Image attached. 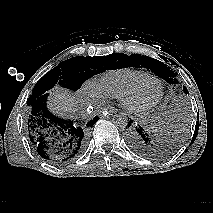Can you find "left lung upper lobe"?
<instances>
[{"label": "left lung upper lobe", "mask_w": 213, "mask_h": 213, "mask_svg": "<svg viewBox=\"0 0 213 213\" xmlns=\"http://www.w3.org/2000/svg\"><path fill=\"white\" fill-rule=\"evenodd\" d=\"M127 58H128L127 67H139V68L144 67L150 69L156 75L166 80L169 84L171 85L178 84V80L176 79L177 74L172 72L170 70V67H166L164 63H162L161 61L140 54H132ZM183 91L185 94H188V90L185 86H183Z\"/></svg>", "instance_id": "5c2ea615"}]
</instances>
